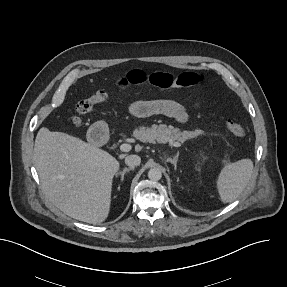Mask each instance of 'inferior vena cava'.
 <instances>
[{"label":"inferior vena cava","instance_id":"602c4592","mask_svg":"<svg viewBox=\"0 0 287 287\" xmlns=\"http://www.w3.org/2000/svg\"><path fill=\"white\" fill-rule=\"evenodd\" d=\"M141 158L138 155H128L125 157V164L129 167H135L140 165Z\"/></svg>","mask_w":287,"mask_h":287}]
</instances>
